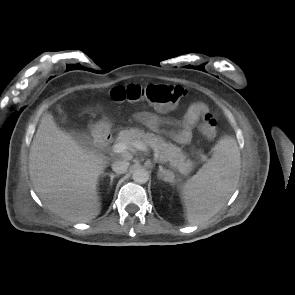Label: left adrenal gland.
I'll use <instances>...</instances> for the list:
<instances>
[{"instance_id": "a2214340", "label": "left adrenal gland", "mask_w": 295, "mask_h": 295, "mask_svg": "<svg viewBox=\"0 0 295 295\" xmlns=\"http://www.w3.org/2000/svg\"><path fill=\"white\" fill-rule=\"evenodd\" d=\"M171 175V172L169 170L163 169V167L159 166V172L157 174V177L159 180H163L164 182H170L169 177Z\"/></svg>"}]
</instances>
